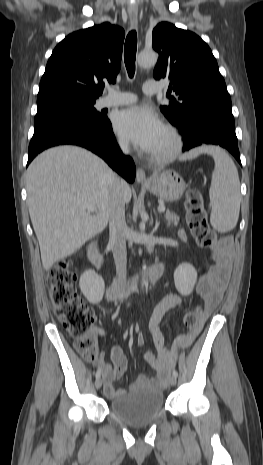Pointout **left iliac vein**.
<instances>
[{"label": "left iliac vein", "instance_id": "left-iliac-vein-1", "mask_svg": "<svg viewBox=\"0 0 263 465\" xmlns=\"http://www.w3.org/2000/svg\"><path fill=\"white\" fill-rule=\"evenodd\" d=\"M169 383L172 385V386H175L176 383H177V378L172 375L170 378H169Z\"/></svg>", "mask_w": 263, "mask_h": 465}]
</instances>
